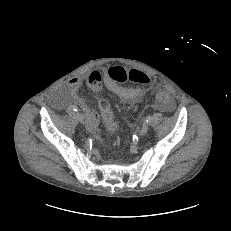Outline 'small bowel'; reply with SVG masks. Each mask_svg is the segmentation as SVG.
Masks as SVG:
<instances>
[{"label": "small bowel", "instance_id": "small-bowel-1", "mask_svg": "<svg viewBox=\"0 0 231 231\" xmlns=\"http://www.w3.org/2000/svg\"><path fill=\"white\" fill-rule=\"evenodd\" d=\"M96 80H99L100 84L102 83V80H103L105 86L112 93L118 96L124 104H131V103L137 102L141 100L145 94V90L142 87L126 88L119 84H112L110 82L107 72H104L103 75H101L99 72H96V71L92 72L87 78L88 87L93 91H97L94 88V82H96ZM80 84H81V80L78 77H72L67 81L66 88L68 90L69 95L72 97V99L84 111L86 118H87L88 130L98 135V126H99V121H100L99 115L93 109V107L88 101H86L85 99H83L82 97L78 95V89L80 87Z\"/></svg>", "mask_w": 231, "mask_h": 231}]
</instances>
